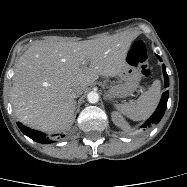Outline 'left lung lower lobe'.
I'll use <instances>...</instances> for the list:
<instances>
[{
  "label": "left lung lower lobe",
  "mask_w": 187,
  "mask_h": 187,
  "mask_svg": "<svg viewBox=\"0 0 187 187\" xmlns=\"http://www.w3.org/2000/svg\"><path fill=\"white\" fill-rule=\"evenodd\" d=\"M156 56L160 61H162L158 55H156ZM162 69H163V75H164V80H165V88H167L169 86V78H168V75L166 72V67L164 64L162 65ZM168 97H169L168 91H166L162 94V97H161V100H160V103H159L157 109L155 110L153 115L144 124H142L141 128H144V129L150 128L153 125L159 123V121L161 120V118L163 117V115L165 113Z\"/></svg>",
  "instance_id": "obj_1"
}]
</instances>
